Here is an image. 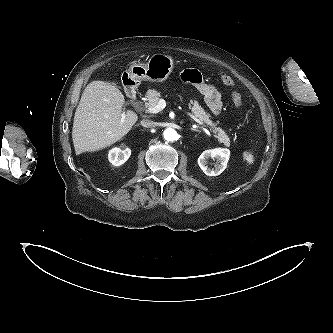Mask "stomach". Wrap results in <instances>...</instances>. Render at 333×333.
<instances>
[{
	"mask_svg": "<svg viewBox=\"0 0 333 333\" xmlns=\"http://www.w3.org/2000/svg\"><path fill=\"white\" fill-rule=\"evenodd\" d=\"M174 68L172 57L157 53L152 55L147 63H133L125 77L131 84L137 86L141 81L163 82L168 79Z\"/></svg>",
	"mask_w": 333,
	"mask_h": 333,
	"instance_id": "obj_1",
	"label": "stomach"
}]
</instances>
